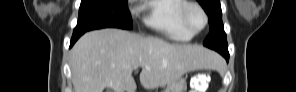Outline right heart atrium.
<instances>
[{
	"instance_id": "obj_1",
	"label": "right heart atrium",
	"mask_w": 296,
	"mask_h": 92,
	"mask_svg": "<svg viewBox=\"0 0 296 92\" xmlns=\"http://www.w3.org/2000/svg\"><path fill=\"white\" fill-rule=\"evenodd\" d=\"M133 13L136 14V10H134Z\"/></svg>"
}]
</instances>
